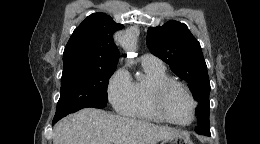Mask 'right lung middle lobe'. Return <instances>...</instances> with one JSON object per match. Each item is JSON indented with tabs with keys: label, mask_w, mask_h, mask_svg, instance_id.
Returning a JSON list of instances; mask_svg holds the SVG:
<instances>
[{
	"label": "right lung middle lobe",
	"mask_w": 260,
	"mask_h": 144,
	"mask_svg": "<svg viewBox=\"0 0 260 144\" xmlns=\"http://www.w3.org/2000/svg\"><path fill=\"white\" fill-rule=\"evenodd\" d=\"M115 69L63 72L54 120L58 121L82 108H104L108 102L109 78Z\"/></svg>",
	"instance_id": "dd1d6c3e"
}]
</instances>
